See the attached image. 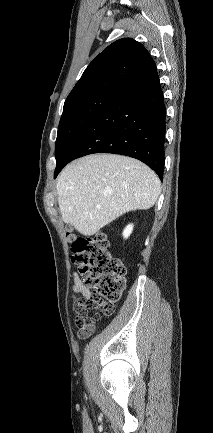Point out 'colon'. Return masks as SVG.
Returning <instances> with one entry per match:
<instances>
[{"label":"colon","instance_id":"obj_1","mask_svg":"<svg viewBox=\"0 0 213 433\" xmlns=\"http://www.w3.org/2000/svg\"><path fill=\"white\" fill-rule=\"evenodd\" d=\"M67 237L73 262L79 268L85 287L91 292V297L81 300L76 307V324L85 329L114 312L125 289L126 269L123 262L111 253L105 233L77 238L68 231Z\"/></svg>","mask_w":213,"mask_h":433}]
</instances>
